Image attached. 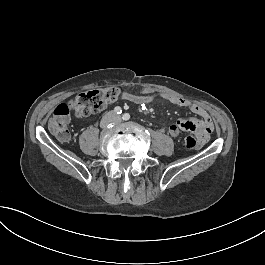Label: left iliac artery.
<instances>
[{
	"label": "left iliac artery",
	"instance_id": "44dca946",
	"mask_svg": "<svg viewBox=\"0 0 265 265\" xmlns=\"http://www.w3.org/2000/svg\"><path fill=\"white\" fill-rule=\"evenodd\" d=\"M123 120L127 121L130 119V115L128 113H125L123 116H122Z\"/></svg>",
	"mask_w": 265,
	"mask_h": 265
}]
</instances>
